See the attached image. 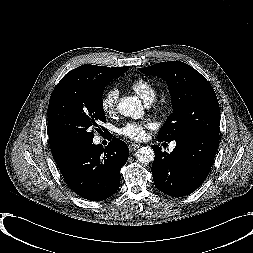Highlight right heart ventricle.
I'll return each instance as SVG.
<instances>
[{"label": "right heart ventricle", "mask_w": 253, "mask_h": 253, "mask_svg": "<svg viewBox=\"0 0 253 253\" xmlns=\"http://www.w3.org/2000/svg\"><path fill=\"white\" fill-rule=\"evenodd\" d=\"M130 88L146 103L150 104L157 96L156 87L149 81L137 79L131 83Z\"/></svg>", "instance_id": "1"}]
</instances>
